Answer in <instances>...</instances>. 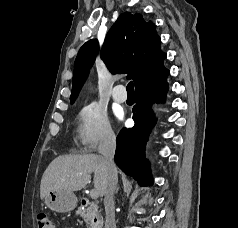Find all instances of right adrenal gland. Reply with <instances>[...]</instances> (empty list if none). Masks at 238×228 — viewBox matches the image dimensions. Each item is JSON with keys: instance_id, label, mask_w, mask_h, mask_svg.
<instances>
[{"instance_id": "1", "label": "right adrenal gland", "mask_w": 238, "mask_h": 228, "mask_svg": "<svg viewBox=\"0 0 238 228\" xmlns=\"http://www.w3.org/2000/svg\"><path fill=\"white\" fill-rule=\"evenodd\" d=\"M118 190H119V187H117V189H116V193L118 192Z\"/></svg>"}]
</instances>
